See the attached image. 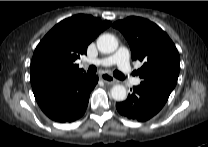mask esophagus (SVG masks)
I'll return each mask as SVG.
<instances>
[{"label":"esophagus","mask_w":208,"mask_h":147,"mask_svg":"<svg viewBox=\"0 0 208 147\" xmlns=\"http://www.w3.org/2000/svg\"><path fill=\"white\" fill-rule=\"evenodd\" d=\"M100 78L106 83V84H115L117 83V80L111 76L108 73H103L100 75Z\"/></svg>","instance_id":"34e87169"}]
</instances>
